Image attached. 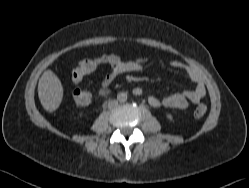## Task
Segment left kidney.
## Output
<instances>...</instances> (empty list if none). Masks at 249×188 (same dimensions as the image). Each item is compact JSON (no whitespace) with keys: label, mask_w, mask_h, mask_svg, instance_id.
<instances>
[{"label":"left kidney","mask_w":249,"mask_h":188,"mask_svg":"<svg viewBox=\"0 0 249 188\" xmlns=\"http://www.w3.org/2000/svg\"><path fill=\"white\" fill-rule=\"evenodd\" d=\"M167 119L173 120V116L171 114H166Z\"/></svg>","instance_id":"1"}]
</instances>
